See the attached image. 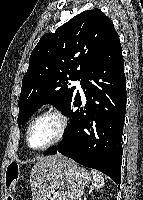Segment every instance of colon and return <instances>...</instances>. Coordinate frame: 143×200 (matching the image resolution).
Segmentation results:
<instances>
[{
  "label": "colon",
  "mask_w": 143,
  "mask_h": 200,
  "mask_svg": "<svg viewBox=\"0 0 143 200\" xmlns=\"http://www.w3.org/2000/svg\"><path fill=\"white\" fill-rule=\"evenodd\" d=\"M19 174V167L16 163H11L8 165L6 170V188L11 193L14 192L18 187Z\"/></svg>",
  "instance_id": "1"
}]
</instances>
